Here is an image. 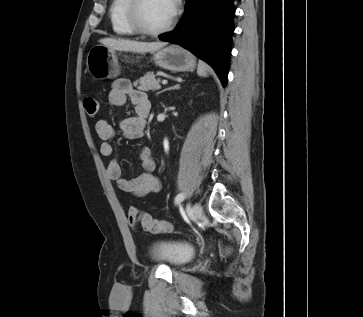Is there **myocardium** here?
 I'll return each mask as SVG.
<instances>
[{"label":"myocardium","instance_id":"1","mask_svg":"<svg viewBox=\"0 0 363 317\" xmlns=\"http://www.w3.org/2000/svg\"><path fill=\"white\" fill-rule=\"evenodd\" d=\"M142 2L143 0H129L126 6V11H125L126 21L128 25L131 27V29L135 33L146 37H157L168 32L172 28L176 20L178 14L177 6L176 5L174 6L172 15L164 26L156 30H151L144 27L139 18V10Z\"/></svg>","mask_w":363,"mask_h":317}]
</instances>
